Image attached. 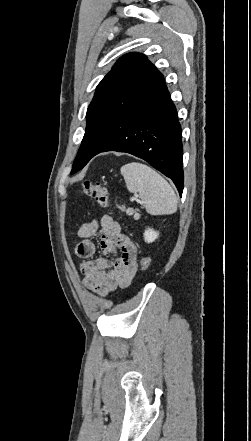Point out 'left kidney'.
I'll list each match as a JSON object with an SVG mask.
<instances>
[{
  "mask_svg": "<svg viewBox=\"0 0 251 441\" xmlns=\"http://www.w3.org/2000/svg\"><path fill=\"white\" fill-rule=\"evenodd\" d=\"M158 236L159 233L150 228H148L144 232V240L148 243L155 241L158 238Z\"/></svg>",
  "mask_w": 251,
  "mask_h": 441,
  "instance_id": "1",
  "label": "left kidney"
}]
</instances>
